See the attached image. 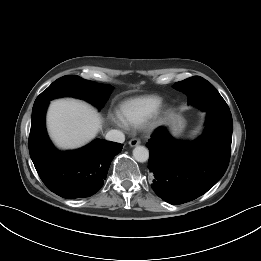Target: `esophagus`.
Returning <instances> with one entry per match:
<instances>
[{
	"mask_svg": "<svg viewBox=\"0 0 261 261\" xmlns=\"http://www.w3.org/2000/svg\"><path fill=\"white\" fill-rule=\"evenodd\" d=\"M140 144V140L137 139V138H133L129 141V145L131 147H135V146H138Z\"/></svg>",
	"mask_w": 261,
	"mask_h": 261,
	"instance_id": "esophagus-1",
	"label": "esophagus"
}]
</instances>
